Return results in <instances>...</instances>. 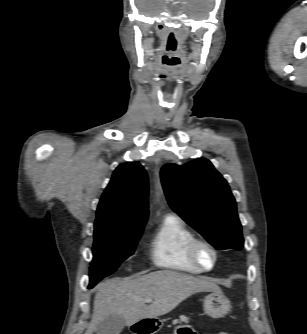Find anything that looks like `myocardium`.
Listing matches in <instances>:
<instances>
[{
  "label": "myocardium",
  "instance_id": "myocardium-1",
  "mask_svg": "<svg viewBox=\"0 0 307 334\" xmlns=\"http://www.w3.org/2000/svg\"><path fill=\"white\" fill-rule=\"evenodd\" d=\"M200 247H205L209 249L213 255V263L210 267H206L200 261L198 250ZM187 255L190 261L200 268L203 272L213 270L218 263V251L216 247L206 239L194 237L187 244Z\"/></svg>",
  "mask_w": 307,
  "mask_h": 334
}]
</instances>
